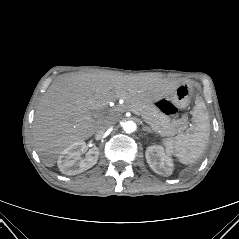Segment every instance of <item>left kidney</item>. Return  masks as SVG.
I'll return each mask as SVG.
<instances>
[{
  "mask_svg": "<svg viewBox=\"0 0 239 239\" xmlns=\"http://www.w3.org/2000/svg\"><path fill=\"white\" fill-rule=\"evenodd\" d=\"M171 151L162 146L153 145L146 149L145 156L150 168L161 176H170L173 171Z\"/></svg>",
  "mask_w": 239,
  "mask_h": 239,
  "instance_id": "5707ae66",
  "label": "left kidney"
}]
</instances>
